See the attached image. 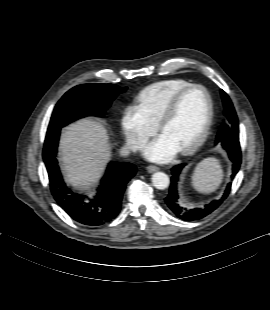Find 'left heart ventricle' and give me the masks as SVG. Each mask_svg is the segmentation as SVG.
<instances>
[{
  "label": "left heart ventricle",
  "mask_w": 270,
  "mask_h": 310,
  "mask_svg": "<svg viewBox=\"0 0 270 310\" xmlns=\"http://www.w3.org/2000/svg\"><path fill=\"white\" fill-rule=\"evenodd\" d=\"M207 97L201 90L186 94L171 120L163 127V134L181 151L200 135L207 116Z\"/></svg>",
  "instance_id": "b2bd125f"
}]
</instances>
